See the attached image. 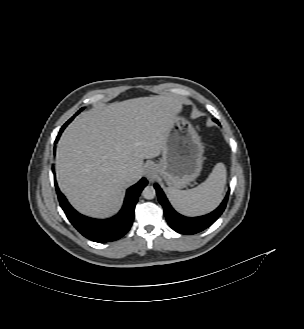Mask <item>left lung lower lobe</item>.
<instances>
[{"label": "left lung lower lobe", "mask_w": 304, "mask_h": 329, "mask_svg": "<svg viewBox=\"0 0 304 329\" xmlns=\"http://www.w3.org/2000/svg\"><path fill=\"white\" fill-rule=\"evenodd\" d=\"M217 122V120H214ZM158 200L164 208V214L170 227L178 233L191 235L203 231L211 226L223 213L229 196V191L220 206L213 212L200 217H185L177 213L168 202L164 192L158 184L154 185Z\"/></svg>", "instance_id": "left-lung-lower-lobe-1"}]
</instances>
